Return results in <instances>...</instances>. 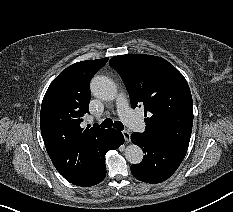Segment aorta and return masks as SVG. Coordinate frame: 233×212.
Segmentation results:
<instances>
[{
  "label": "aorta",
  "mask_w": 233,
  "mask_h": 212,
  "mask_svg": "<svg viewBox=\"0 0 233 212\" xmlns=\"http://www.w3.org/2000/svg\"><path fill=\"white\" fill-rule=\"evenodd\" d=\"M90 88L93 95L106 101L114 100L118 92L115 83L105 76H95ZM125 158L131 164H139L143 160V151L139 146L130 144L125 149Z\"/></svg>",
  "instance_id": "762f6f07"
}]
</instances>
